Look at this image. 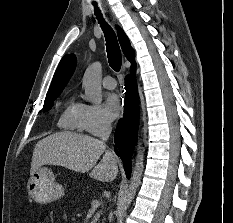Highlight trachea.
I'll return each instance as SVG.
<instances>
[{
	"label": "trachea",
	"instance_id": "obj_1",
	"mask_svg": "<svg viewBox=\"0 0 233 223\" xmlns=\"http://www.w3.org/2000/svg\"><path fill=\"white\" fill-rule=\"evenodd\" d=\"M95 13L105 34L109 65L113 70L119 71L122 65V56L117 37L112 28L102 18L100 11L96 9Z\"/></svg>",
	"mask_w": 233,
	"mask_h": 223
}]
</instances>
